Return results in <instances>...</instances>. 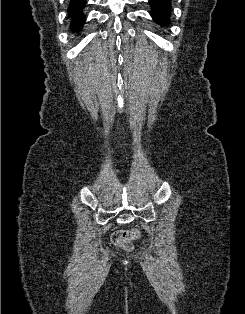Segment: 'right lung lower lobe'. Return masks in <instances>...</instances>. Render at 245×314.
<instances>
[{"label": "right lung lower lobe", "instance_id": "obj_1", "mask_svg": "<svg viewBox=\"0 0 245 314\" xmlns=\"http://www.w3.org/2000/svg\"><path fill=\"white\" fill-rule=\"evenodd\" d=\"M86 5V0H71L68 7V17L70 18V29L72 32L79 33L84 25L86 16L83 9Z\"/></svg>", "mask_w": 245, "mask_h": 314}]
</instances>
